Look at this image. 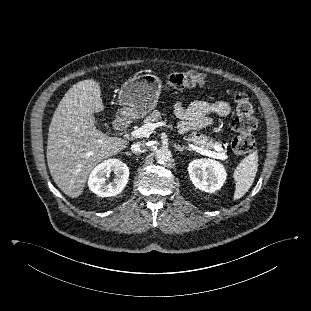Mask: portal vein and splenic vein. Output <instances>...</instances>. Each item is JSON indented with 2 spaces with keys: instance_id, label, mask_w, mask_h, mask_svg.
Listing matches in <instances>:
<instances>
[{
  "instance_id": "portal-vein-and-splenic-vein-1",
  "label": "portal vein and splenic vein",
  "mask_w": 311,
  "mask_h": 311,
  "mask_svg": "<svg viewBox=\"0 0 311 311\" xmlns=\"http://www.w3.org/2000/svg\"><path fill=\"white\" fill-rule=\"evenodd\" d=\"M166 123L165 122H157V123H150V124H145L139 128H137L136 130L131 132L132 137L134 138H145V137H149L152 132L157 128V127H162L165 126ZM188 146L203 155L209 156V157H213L216 159H221V160H225L227 159V156L224 153H216L213 152L211 150H206L203 149L202 147L193 145V144H188Z\"/></svg>"
}]
</instances>
